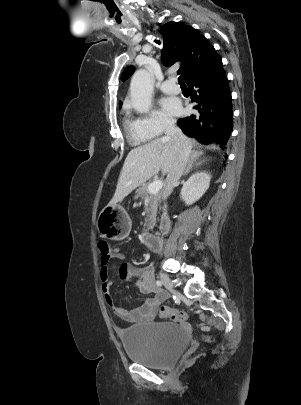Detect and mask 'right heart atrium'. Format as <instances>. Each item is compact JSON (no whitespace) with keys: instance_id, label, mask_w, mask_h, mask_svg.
<instances>
[{"instance_id":"right-heart-atrium-1","label":"right heart atrium","mask_w":301,"mask_h":405,"mask_svg":"<svg viewBox=\"0 0 301 405\" xmlns=\"http://www.w3.org/2000/svg\"><path fill=\"white\" fill-rule=\"evenodd\" d=\"M139 121L144 129L153 136L162 134L174 124V119L170 115L157 109L141 116Z\"/></svg>"}]
</instances>
